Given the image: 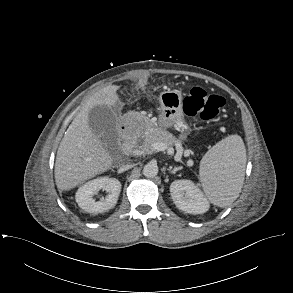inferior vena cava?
Instances as JSON below:
<instances>
[{"instance_id": "1", "label": "inferior vena cava", "mask_w": 293, "mask_h": 293, "mask_svg": "<svg viewBox=\"0 0 293 293\" xmlns=\"http://www.w3.org/2000/svg\"><path fill=\"white\" fill-rule=\"evenodd\" d=\"M132 167H133L132 164H124V165H122V166L119 168V171H120V172H124V171H126V170L131 169Z\"/></svg>"}]
</instances>
